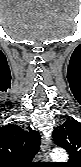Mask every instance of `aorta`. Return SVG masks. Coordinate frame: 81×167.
<instances>
[{"label":"aorta","mask_w":81,"mask_h":167,"mask_svg":"<svg viewBox=\"0 0 81 167\" xmlns=\"http://www.w3.org/2000/svg\"><path fill=\"white\" fill-rule=\"evenodd\" d=\"M51 158L55 162H66L68 160V155L65 150L56 148L52 151Z\"/></svg>","instance_id":"1"}]
</instances>
